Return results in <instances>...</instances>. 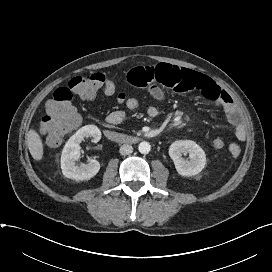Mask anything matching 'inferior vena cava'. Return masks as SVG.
<instances>
[{"mask_svg":"<svg viewBox=\"0 0 272 272\" xmlns=\"http://www.w3.org/2000/svg\"><path fill=\"white\" fill-rule=\"evenodd\" d=\"M133 152V147L129 144H124L120 147V153L122 155H129Z\"/></svg>","mask_w":272,"mask_h":272,"instance_id":"inferior-vena-cava-1","label":"inferior vena cava"}]
</instances>
